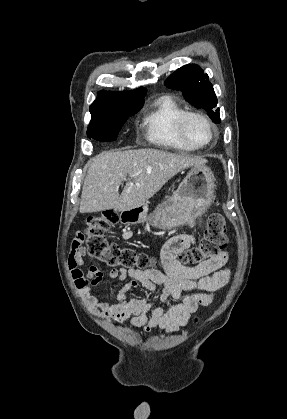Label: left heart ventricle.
Instances as JSON below:
<instances>
[{"label": "left heart ventricle", "instance_id": "obj_1", "mask_svg": "<svg viewBox=\"0 0 287 419\" xmlns=\"http://www.w3.org/2000/svg\"><path fill=\"white\" fill-rule=\"evenodd\" d=\"M186 133L188 138L194 143H205L210 139V131L206 124L196 118L187 122Z\"/></svg>", "mask_w": 287, "mask_h": 419}]
</instances>
